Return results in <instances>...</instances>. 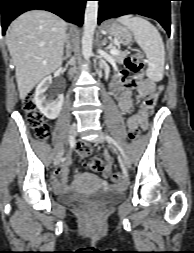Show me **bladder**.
Segmentation results:
<instances>
[{
  "mask_svg": "<svg viewBox=\"0 0 194 253\" xmlns=\"http://www.w3.org/2000/svg\"><path fill=\"white\" fill-rule=\"evenodd\" d=\"M122 196L123 193L119 190L106 189L86 194L63 195L59 200L65 204L91 202L97 205H106L118 201Z\"/></svg>",
  "mask_w": 194,
  "mask_h": 253,
  "instance_id": "31cf9c89",
  "label": "bladder"
}]
</instances>
